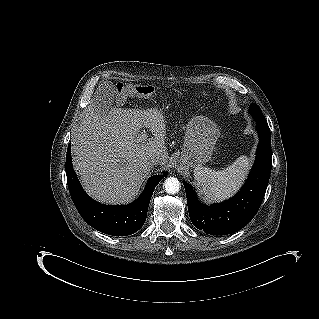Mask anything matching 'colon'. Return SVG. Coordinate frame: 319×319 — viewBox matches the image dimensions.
<instances>
[{
  "label": "colon",
  "instance_id": "1",
  "mask_svg": "<svg viewBox=\"0 0 319 319\" xmlns=\"http://www.w3.org/2000/svg\"><path fill=\"white\" fill-rule=\"evenodd\" d=\"M117 101L123 103L130 96L142 98H151L155 95L156 90L153 86L147 84H123L116 85Z\"/></svg>",
  "mask_w": 319,
  "mask_h": 319
}]
</instances>
